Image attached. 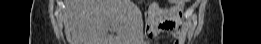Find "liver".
I'll list each match as a JSON object with an SVG mask.
<instances>
[{"instance_id": "obj_1", "label": "liver", "mask_w": 261, "mask_h": 44, "mask_svg": "<svg viewBox=\"0 0 261 44\" xmlns=\"http://www.w3.org/2000/svg\"><path fill=\"white\" fill-rule=\"evenodd\" d=\"M75 44H139L144 25L131 0H67Z\"/></svg>"}]
</instances>
